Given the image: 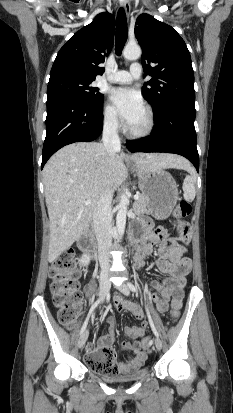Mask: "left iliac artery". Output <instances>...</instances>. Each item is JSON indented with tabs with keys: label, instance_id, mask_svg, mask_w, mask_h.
Wrapping results in <instances>:
<instances>
[{
	"label": "left iliac artery",
	"instance_id": "44dca946",
	"mask_svg": "<svg viewBox=\"0 0 233 413\" xmlns=\"http://www.w3.org/2000/svg\"><path fill=\"white\" fill-rule=\"evenodd\" d=\"M128 287L130 288L131 291L137 293V289H136V287H135L132 283L128 282ZM146 311H147L148 320H149L150 326H151V328H152V331H153L154 334L158 337L159 334H158V332H157V330H156V328H155V326H154L152 317H151L150 312H149V310H148L147 307H146Z\"/></svg>",
	"mask_w": 233,
	"mask_h": 413
}]
</instances>
